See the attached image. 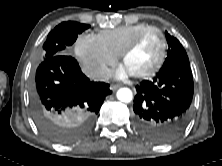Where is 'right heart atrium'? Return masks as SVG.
I'll list each match as a JSON object with an SVG mask.
<instances>
[{
    "instance_id": "right-heart-atrium-1",
    "label": "right heart atrium",
    "mask_w": 222,
    "mask_h": 166,
    "mask_svg": "<svg viewBox=\"0 0 222 166\" xmlns=\"http://www.w3.org/2000/svg\"><path fill=\"white\" fill-rule=\"evenodd\" d=\"M75 54L84 72L95 80L105 79L115 61V57L91 34H82L77 38Z\"/></svg>"
}]
</instances>
